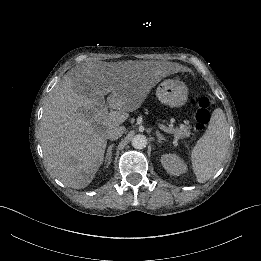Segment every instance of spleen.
I'll return each instance as SVG.
<instances>
[{
  "label": "spleen",
  "mask_w": 261,
  "mask_h": 261,
  "mask_svg": "<svg viewBox=\"0 0 261 261\" xmlns=\"http://www.w3.org/2000/svg\"><path fill=\"white\" fill-rule=\"evenodd\" d=\"M229 146V125L221 108H215L206 134L191 152L192 171L198 183H205L221 168Z\"/></svg>",
  "instance_id": "3e777b00"
}]
</instances>
